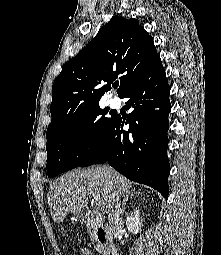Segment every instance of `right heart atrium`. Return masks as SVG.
<instances>
[{"label":"right heart atrium","mask_w":221,"mask_h":255,"mask_svg":"<svg viewBox=\"0 0 221 255\" xmlns=\"http://www.w3.org/2000/svg\"><path fill=\"white\" fill-rule=\"evenodd\" d=\"M87 132H88V127H84V128L82 129V134H83V135H86Z\"/></svg>","instance_id":"right-heart-atrium-1"}]
</instances>
